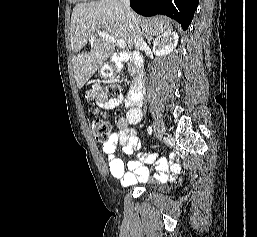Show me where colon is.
<instances>
[{
	"label": "colon",
	"mask_w": 257,
	"mask_h": 237,
	"mask_svg": "<svg viewBox=\"0 0 257 237\" xmlns=\"http://www.w3.org/2000/svg\"><path fill=\"white\" fill-rule=\"evenodd\" d=\"M119 87L112 81L106 79L98 80L88 91L86 98L90 102H99L114 96ZM91 129L97 141L107 142L112 135V125L104 119H94L91 122Z\"/></svg>",
	"instance_id": "5ec220e1"
}]
</instances>
